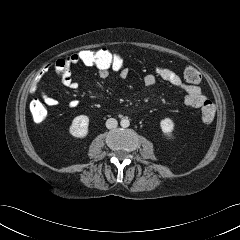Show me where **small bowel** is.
<instances>
[{
  "label": "small bowel",
  "mask_w": 240,
  "mask_h": 240,
  "mask_svg": "<svg viewBox=\"0 0 240 240\" xmlns=\"http://www.w3.org/2000/svg\"><path fill=\"white\" fill-rule=\"evenodd\" d=\"M72 56L73 55L71 54L58 58L54 61L52 67L57 72L62 85L72 90H77L79 87L78 82L74 80L71 74V67L77 64ZM110 72L111 70L107 68H97L98 77L103 80L109 77ZM118 74L122 79H125L128 77L129 71L127 68H124L118 71ZM157 77L170 85L183 90L185 92L184 103L186 106L200 108L203 107L206 101H208L199 85L185 83L176 72L164 66H157L155 68V74L145 75L143 79L144 84L148 87L155 85ZM37 89L38 85L35 83L30 90L31 94L35 95ZM42 99L48 106H56L59 104V101L55 97L46 92L42 93ZM67 105L70 108H75L78 105V102L76 100H70Z\"/></svg>",
  "instance_id": "small-bowel-1"
}]
</instances>
